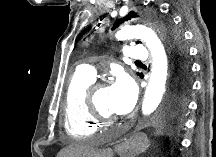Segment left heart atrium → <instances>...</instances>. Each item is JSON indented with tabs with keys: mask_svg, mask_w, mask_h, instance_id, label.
I'll list each match as a JSON object with an SVG mask.
<instances>
[{
	"mask_svg": "<svg viewBox=\"0 0 216 157\" xmlns=\"http://www.w3.org/2000/svg\"><path fill=\"white\" fill-rule=\"evenodd\" d=\"M136 98V87L131 79L124 74H118L109 87L111 110L118 115L127 114L134 107Z\"/></svg>",
	"mask_w": 216,
	"mask_h": 157,
	"instance_id": "obj_1",
	"label": "left heart atrium"
}]
</instances>
